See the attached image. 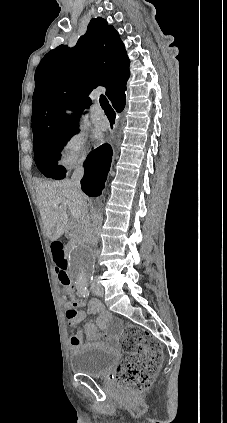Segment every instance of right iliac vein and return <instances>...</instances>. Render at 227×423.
Wrapping results in <instances>:
<instances>
[{
    "label": "right iliac vein",
    "instance_id": "obj_1",
    "mask_svg": "<svg viewBox=\"0 0 227 423\" xmlns=\"http://www.w3.org/2000/svg\"><path fill=\"white\" fill-rule=\"evenodd\" d=\"M98 293H99L100 296H103L104 295V291L103 290H98Z\"/></svg>",
    "mask_w": 227,
    "mask_h": 423
}]
</instances>
